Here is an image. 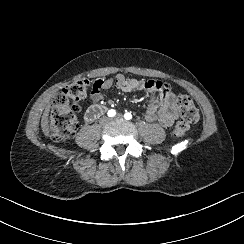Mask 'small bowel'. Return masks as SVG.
<instances>
[{"mask_svg":"<svg viewBox=\"0 0 244 244\" xmlns=\"http://www.w3.org/2000/svg\"><path fill=\"white\" fill-rule=\"evenodd\" d=\"M112 87L126 93L147 91L149 98L146 104L145 119L149 123H158L164 127H169L176 119L175 94L167 83L157 80L128 78L123 74H117L112 78L99 79L94 82L85 120H93L92 110L103 100V92Z\"/></svg>","mask_w":244,"mask_h":244,"instance_id":"c3829d8e","label":"small bowel"}]
</instances>
